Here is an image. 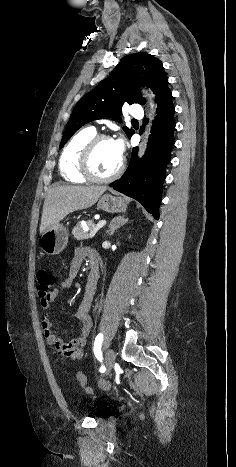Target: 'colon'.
Masks as SVG:
<instances>
[{
    "label": "colon",
    "mask_w": 236,
    "mask_h": 467,
    "mask_svg": "<svg viewBox=\"0 0 236 467\" xmlns=\"http://www.w3.org/2000/svg\"><path fill=\"white\" fill-rule=\"evenodd\" d=\"M37 280H38V286H39V295L41 298H44L48 296L52 291L53 287L55 285V275L53 271L49 268H41L37 272ZM78 381L81 385V387L88 393L92 392V388H90L87 385V379L86 376L80 372L78 373ZM103 387H107V383H102Z\"/></svg>",
    "instance_id": "5ec220e1"
}]
</instances>
